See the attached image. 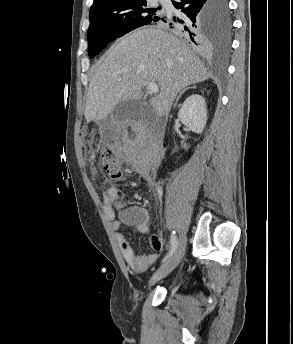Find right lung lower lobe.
Wrapping results in <instances>:
<instances>
[{"instance_id": "98d812e1", "label": "right lung lower lobe", "mask_w": 293, "mask_h": 344, "mask_svg": "<svg viewBox=\"0 0 293 344\" xmlns=\"http://www.w3.org/2000/svg\"><path fill=\"white\" fill-rule=\"evenodd\" d=\"M216 0H176L172 1L177 9H181L179 15L162 16L160 22L174 29L183 38L192 41L204 51H210L218 45H224L218 28L213 21L214 5ZM231 21L228 30V42H230Z\"/></svg>"}]
</instances>
